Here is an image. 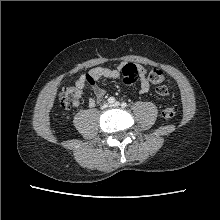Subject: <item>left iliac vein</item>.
I'll list each match as a JSON object with an SVG mask.
<instances>
[{"label": "left iliac vein", "instance_id": "left-iliac-vein-1", "mask_svg": "<svg viewBox=\"0 0 220 220\" xmlns=\"http://www.w3.org/2000/svg\"><path fill=\"white\" fill-rule=\"evenodd\" d=\"M112 107H119L120 106V103L119 102H115L111 105Z\"/></svg>", "mask_w": 220, "mask_h": 220}]
</instances>
